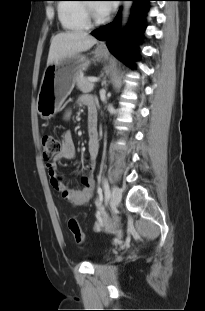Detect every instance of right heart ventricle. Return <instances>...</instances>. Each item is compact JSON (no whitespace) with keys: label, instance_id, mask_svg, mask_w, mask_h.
Listing matches in <instances>:
<instances>
[{"label":"right heart ventricle","instance_id":"1","mask_svg":"<svg viewBox=\"0 0 205 311\" xmlns=\"http://www.w3.org/2000/svg\"><path fill=\"white\" fill-rule=\"evenodd\" d=\"M66 2H77L81 0H62ZM58 17L65 30L76 32L89 27L86 20L84 4L80 3H61L57 8Z\"/></svg>","mask_w":205,"mask_h":311}]
</instances>
